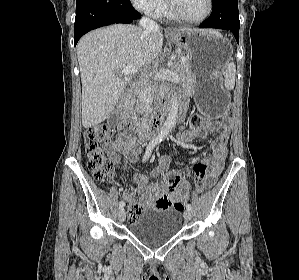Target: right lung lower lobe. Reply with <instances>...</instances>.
<instances>
[{"mask_svg": "<svg viewBox=\"0 0 299 280\" xmlns=\"http://www.w3.org/2000/svg\"><path fill=\"white\" fill-rule=\"evenodd\" d=\"M130 0H76L74 45L87 32L113 23L140 18Z\"/></svg>", "mask_w": 299, "mask_h": 280, "instance_id": "right-lung-lower-lobe-1", "label": "right lung lower lobe"}]
</instances>
